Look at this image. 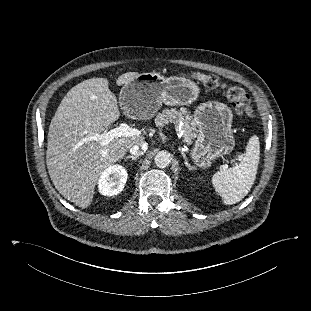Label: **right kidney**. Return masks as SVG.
Listing matches in <instances>:
<instances>
[{
  "label": "right kidney",
  "mask_w": 311,
  "mask_h": 311,
  "mask_svg": "<svg viewBox=\"0 0 311 311\" xmlns=\"http://www.w3.org/2000/svg\"><path fill=\"white\" fill-rule=\"evenodd\" d=\"M128 173L121 165H111L99 177V192L104 196H113L120 193L127 181Z\"/></svg>",
  "instance_id": "ca27d5eb"
}]
</instances>
